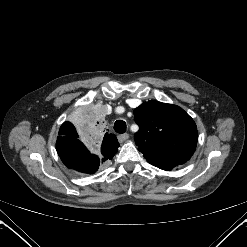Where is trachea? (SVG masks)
Instances as JSON below:
<instances>
[{"label":"trachea","instance_id":"1","mask_svg":"<svg viewBox=\"0 0 247 247\" xmlns=\"http://www.w3.org/2000/svg\"><path fill=\"white\" fill-rule=\"evenodd\" d=\"M126 123L123 121V120H117L115 123H114V130L117 132V133H125L126 132Z\"/></svg>","mask_w":247,"mask_h":247}]
</instances>
